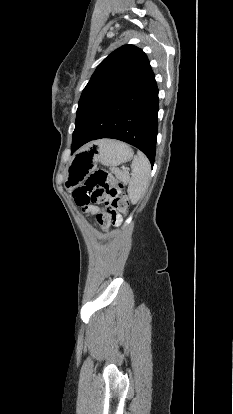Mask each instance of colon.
I'll return each instance as SVG.
<instances>
[{
    "instance_id": "colon-1",
    "label": "colon",
    "mask_w": 233,
    "mask_h": 414,
    "mask_svg": "<svg viewBox=\"0 0 233 414\" xmlns=\"http://www.w3.org/2000/svg\"><path fill=\"white\" fill-rule=\"evenodd\" d=\"M73 196L79 206L96 204L101 207L97 220L102 226L114 223L128 212L129 200L124 185L102 169L92 173L83 187L74 191Z\"/></svg>"
}]
</instances>
